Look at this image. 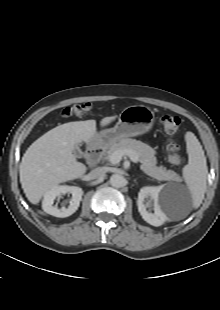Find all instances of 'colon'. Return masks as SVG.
<instances>
[{
  "instance_id": "colon-1",
  "label": "colon",
  "mask_w": 220,
  "mask_h": 310,
  "mask_svg": "<svg viewBox=\"0 0 220 310\" xmlns=\"http://www.w3.org/2000/svg\"><path fill=\"white\" fill-rule=\"evenodd\" d=\"M92 110V106L89 103L76 104L65 108L62 111L63 117H82L88 115ZM160 124L167 134L174 135L180 127L181 120L178 116L173 114H165L160 118ZM179 146L175 143L169 145V159L170 161L178 167H181L184 163L183 157H181L179 152Z\"/></svg>"
}]
</instances>
